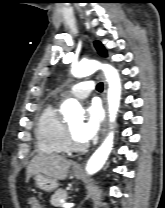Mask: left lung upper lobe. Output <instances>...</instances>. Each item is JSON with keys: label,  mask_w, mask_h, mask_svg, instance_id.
<instances>
[{"label": "left lung upper lobe", "mask_w": 165, "mask_h": 208, "mask_svg": "<svg viewBox=\"0 0 165 208\" xmlns=\"http://www.w3.org/2000/svg\"><path fill=\"white\" fill-rule=\"evenodd\" d=\"M94 44H95V47H96L98 53L101 56L106 57L107 56V53H106V50L104 49L103 45L99 41H95Z\"/></svg>", "instance_id": "5c2ea615"}]
</instances>
